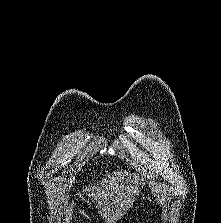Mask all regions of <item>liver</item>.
Listing matches in <instances>:
<instances>
[{"label": "liver", "mask_w": 221, "mask_h": 223, "mask_svg": "<svg viewBox=\"0 0 221 223\" xmlns=\"http://www.w3.org/2000/svg\"><path fill=\"white\" fill-rule=\"evenodd\" d=\"M99 185L97 183L96 187L85 191L97 203L96 207H100V214L107 218V223L115 222L122 216L134 202L141 187L136 176L125 171L114 172L112 176L108 174ZM72 205L66 210V223H70Z\"/></svg>", "instance_id": "6515ba94"}]
</instances>
